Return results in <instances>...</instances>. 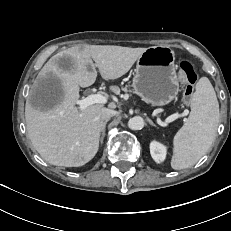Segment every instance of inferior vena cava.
Segmentation results:
<instances>
[{"instance_id": "1", "label": "inferior vena cava", "mask_w": 231, "mask_h": 231, "mask_svg": "<svg viewBox=\"0 0 231 231\" xmlns=\"http://www.w3.org/2000/svg\"><path fill=\"white\" fill-rule=\"evenodd\" d=\"M117 112L112 109L103 108L101 112V119L102 120H109L111 117L115 116Z\"/></svg>"}]
</instances>
